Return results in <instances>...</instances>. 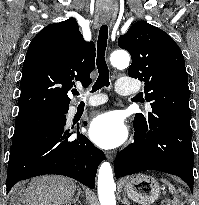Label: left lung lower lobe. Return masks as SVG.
<instances>
[{"label":"left lung lower lobe","instance_id":"0a47b994","mask_svg":"<svg viewBox=\"0 0 199 205\" xmlns=\"http://www.w3.org/2000/svg\"><path fill=\"white\" fill-rule=\"evenodd\" d=\"M134 142L115 159V177L158 170L182 178L193 192L190 118L156 112L147 126L134 123Z\"/></svg>","mask_w":199,"mask_h":205}]
</instances>
